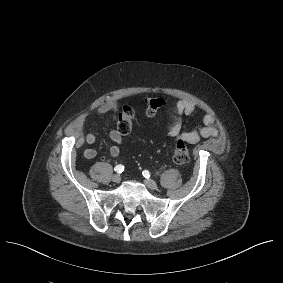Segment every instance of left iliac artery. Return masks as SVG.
Listing matches in <instances>:
<instances>
[{
    "mask_svg": "<svg viewBox=\"0 0 283 283\" xmlns=\"http://www.w3.org/2000/svg\"><path fill=\"white\" fill-rule=\"evenodd\" d=\"M142 174H143V176H144L145 178H147V179L150 177V173H149L148 170H144V171L142 172Z\"/></svg>",
    "mask_w": 283,
    "mask_h": 283,
    "instance_id": "1",
    "label": "left iliac artery"
}]
</instances>
